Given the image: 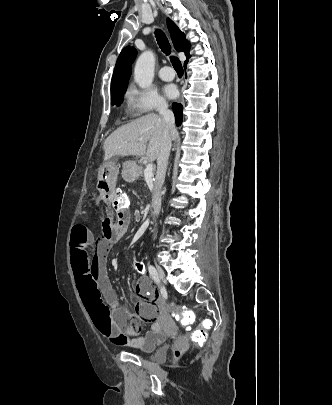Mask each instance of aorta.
<instances>
[{
	"label": "aorta",
	"instance_id": "1",
	"mask_svg": "<svg viewBox=\"0 0 332 405\" xmlns=\"http://www.w3.org/2000/svg\"><path fill=\"white\" fill-rule=\"evenodd\" d=\"M155 55L152 51L143 52L136 61L134 79L139 87L151 86L154 78Z\"/></svg>",
	"mask_w": 332,
	"mask_h": 405
}]
</instances>
